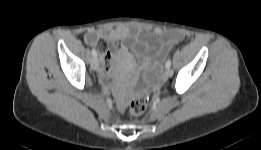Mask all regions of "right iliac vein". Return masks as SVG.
I'll list each match as a JSON object with an SVG mask.
<instances>
[{
    "label": "right iliac vein",
    "mask_w": 261,
    "mask_h": 150,
    "mask_svg": "<svg viewBox=\"0 0 261 150\" xmlns=\"http://www.w3.org/2000/svg\"><path fill=\"white\" fill-rule=\"evenodd\" d=\"M91 68L93 70H98L99 68V61L96 57L92 58L91 62H90Z\"/></svg>",
    "instance_id": "right-iliac-vein-1"
}]
</instances>
